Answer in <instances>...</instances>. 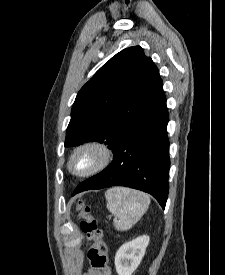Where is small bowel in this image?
Instances as JSON below:
<instances>
[{"mask_svg":"<svg viewBox=\"0 0 225 275\" xmlns=\"http://www.w3.org/2000/svg\"><path fill=\"white\" fill-rule=\"evenodd\" d=\"M84 275H101V274L94 269H89Z\"/></svg>","mask_w":225,"mask_h":275,"instance_id":"1","label":"small bowel"}]
</instances>
